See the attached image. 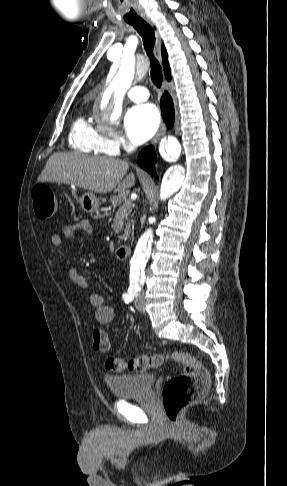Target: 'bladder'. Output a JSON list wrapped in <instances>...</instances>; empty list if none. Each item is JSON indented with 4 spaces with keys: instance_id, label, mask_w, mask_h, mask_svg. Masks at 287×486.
I'll use <instances>...</instances> for the list:
<instances>
[{
    "instance_id": "obj_1",
    "label": "bladder",
    "mask_w": 287,
    "mask_h": 486,
    "mask_svg": "<svg viewBox=\"0 0 287 486\" xmlns=\"http://www.w3.org/2000/svg\"><path fill=\"white\" fill-rule=\"evenodd\" d=\"M155 382L152 373L109 375L105 383L118 399H129L144 396L150 392Z\"/></svg>"
}]
</instances>
